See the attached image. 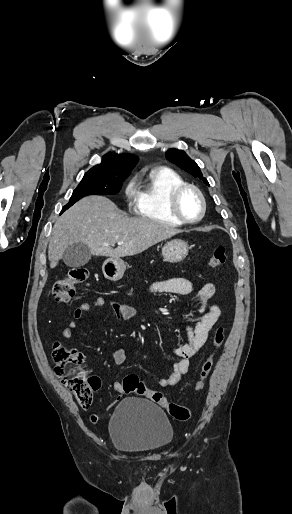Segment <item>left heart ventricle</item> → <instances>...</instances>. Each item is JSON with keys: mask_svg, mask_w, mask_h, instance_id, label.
<instances>
[{"mask_svg": "<svg viewBox=\"0 0 292 514\" xmlns=\"http://www.w3.org/2000/svg\"><path fill=\"white\" fill-rule=\"evenodd\" d=\"M178 209L187 219H196L200 213V202L192 190H184L178 198Z\"/></svg>", "mask_w": 292, "mask_h": 514, "instance_id": "obj_1", "label": "left heart ventricle"}]
</instances>
